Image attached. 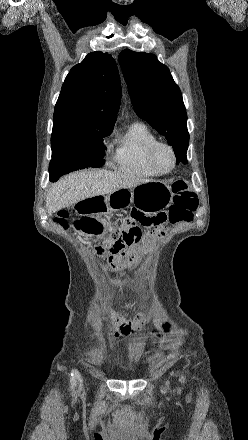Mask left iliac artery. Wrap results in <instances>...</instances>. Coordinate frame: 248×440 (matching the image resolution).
<instances>
[{
  "mask_svg": "<svg viewBox=\"0 0 248 440\" xmlns=\"http://www.w3.org/2000/svg\"><path fill=\"white\" fill-rule=\"evenodd\" d=\"M182 379H183V381H185V378H184V377H182Z\"/></svg>",
  "mask_w": 248,
  "mask_h": 440,
  "instance_id": "1",
  "label": "left iliac artery"
}]
</instances>
